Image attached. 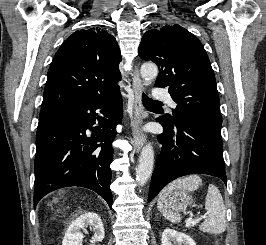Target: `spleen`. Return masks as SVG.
<instances>
[{
  "label": "spleen",
  "mask_w": 266,
  "mask_h": 245,
  "mask_svg": "<svg viewBox=\"0 0 266 245\" xmlns=\"http://www.w3.org/2000/svg\"><path fill=\"white\" fill-rule=\"evenodd\" d=\"M200 185H202V179L197 175H190L185 179H177L170 183L168 187H165L159 195L158 209L161 211L163 217H166L171 223H180V215H175L171 211H167L165 205H163L167 195L173 193V191H197ZM205 209L207 215L204 219V223H201L199 229L203 233H212V235H221L226 229V209L223 201V197L218 191V187L215 185H209L208 193L205 201Z\"/></svg>",
  "instance_id": "1"
}]
</instances>
